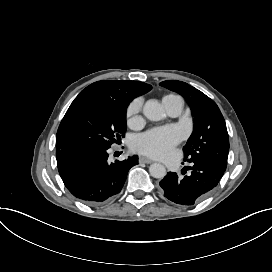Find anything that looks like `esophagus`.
Wrapping results in <instances>:
<instances>
[{
    "instance_id": "34e87169",
    "label": "esophagus",
    "mask_w": 272,
    "mask_h": 272,
    "mask_svg": "<svg viewBox=\"0 0 272 272\" xmlns=\"http://www.w3.org/2000/svg\"><path fill=\"white\" fill-rule=\"evenodd\" d=\"M139 163L151 164L152 160L147 158V157L140 156L139 157Z\"/></svg>"
}]
</instances>
